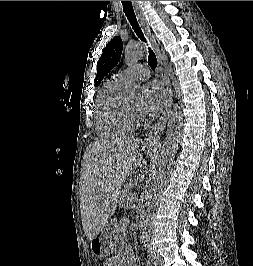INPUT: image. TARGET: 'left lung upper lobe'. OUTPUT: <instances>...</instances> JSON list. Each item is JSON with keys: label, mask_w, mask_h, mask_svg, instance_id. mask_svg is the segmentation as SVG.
Segmentation results:
<instances>
[{"label": "left lung upper lobe", "mask_w": 253, "mask_h": 266, "mask_svg": "<svg viewBox=\"0 0 253 266\" xmlns=\"http://www.w3.org/2000/svg\"><path fill=\"white\" fill-rule=\"evenodd\" d=\"M123 48V42L120 37L112 39L105 49L97 63V74L94 80L96 85H99L104 76L115 67L120 59Z\"/></svg>", "instance_id": "1"}]
</instances>
